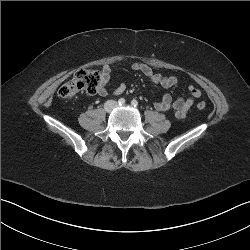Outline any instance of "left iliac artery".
<instances>
[{"mask_svg":"<svg viewBox=\"0 0 250 250\" xmlns=\"http://www.w3.org/2000/svg\"><path fill=\"white\" fill-rule=\"evenodd\" d=\"M131 104H132V106H134V107H137V106H138L137 100H132Z\"/></svg>","mask_w":250,"mask_h":250,"instance_id":"1","label":"left iliac artery"}]
</instances>
